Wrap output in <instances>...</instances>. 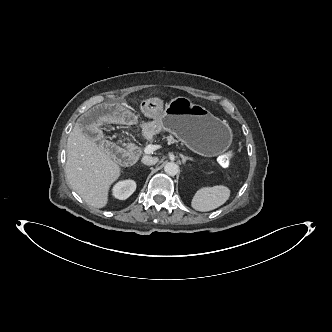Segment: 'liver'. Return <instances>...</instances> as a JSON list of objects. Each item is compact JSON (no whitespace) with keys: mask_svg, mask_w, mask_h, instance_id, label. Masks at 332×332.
Wrapping results in <instances>:
<instances>
[{"mask_svg":"<svg viewBox=\"0 0 332 332\" xmlns=\"http://www.w3.org/2000/svg\"><path fill=\"white\" fill-rule=\"evenodd\" d=\"M66 152L65 172L71 188L92 207H105L109 188L121 174L119 165L77 123L69 134Z\"/></svg>","mask_w":332,"mask_h":332,"instance_id":"6515ba94","label":"liver"}]
</instances>
